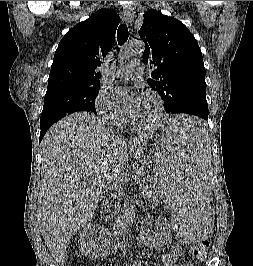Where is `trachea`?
Listing matches in <instances>:
<instances>
[{"instance_id":"3493384b","label":"trachea","mask_w":253,"mask_h":266,"mask_svg":"<svg viewBox=\"0 0 253 266\" xmlns=\"http://www.w3.org/2000/svg\"><path fill=\"white\" fill-rule=\"evenodd\" d=\"M128 35L129 32L127 26L125 24H121L117 30V40L120 46L127 41Z\"/></svg>"}]
</instances>
